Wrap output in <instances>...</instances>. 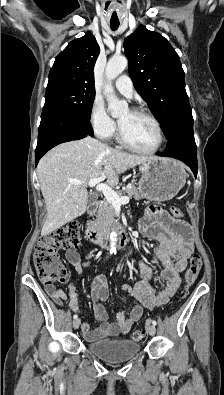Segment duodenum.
Here are the masks:
<instances>
[{
    "label": "duodenum",
    "mask_w": 224,
    "mask_h": 395,
    "mask_svg": "<svg viewBox=\"0 0 224 395\" xmlns=\"http://www.w3.org/2000/svg\"><path fill=\"white\" fill-rule=\"evenodd\" d=\"M97 205V201H93L87 209V214L92 215L95 207ZM115 234L117 236V244L119 247H125L129 241V234L126 229H123L122 226L118 222H112L105 230L96 227H89L86 230L87 239L96 245H104L106 239L110 234Z\"/></svg>",
    "instance_id": "obj_1"
}]
</instances>
